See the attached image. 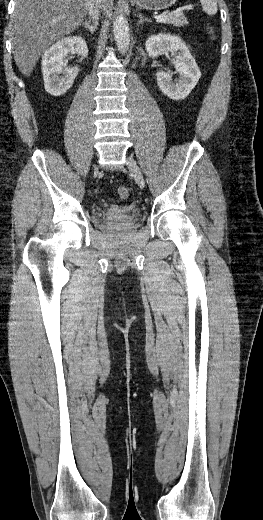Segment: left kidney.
<instances>
[{
	"label": "left kidney",
	"mask_w": 263,
	"mask_h": 520,
	"mask_svg": "<svg viewBox=\"0 0 263 520\" xmlns=\"http://www.w3.org/2000/svg\"><path fill=\"white\" fill-rule=\"evenodd\" d=\"M145 47L150 57H157L166 52L174 55L179 80L173 83L170 73L159 71L156 73L157 84L160 90L171 99L186 98L197 84L201 72L183 40L175 35L159 33L148 37Z\"/></svg>",
	"instance_id": "obj_1"
}]
</instances>
